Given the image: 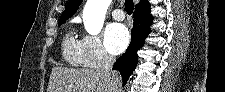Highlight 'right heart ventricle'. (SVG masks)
Masks as SVG:
<instances>
[{
	"instance_id": "1",
	"label": "right heart ventricle",
	"mask_w": 225,
	"mask_h": 92,
	"mask_svg": "<svg viewBox=\"0 0 225 92\" xmlns=\"http://www.w3.org/2000/svg\"><path fill=\"white\" fill-rule=\"evenodd\" d=\"M63 56L71 64L80 62L79 41H76L71 33H68L62 43Z\"/></svg>"
}]
</instances>
